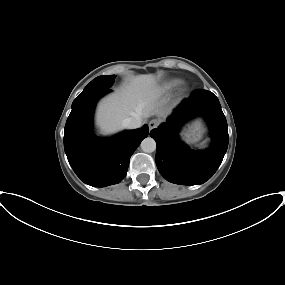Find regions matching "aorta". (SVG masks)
I'll list each match as a JSON object with an SVG mask.
<instances>
[{"label": "aorta", "instance_id": "obj_1", "mask_svg": "<svg viewBox=\"0 0 285 285\" xmlns=\"http://www.w3.org/2000/svg\"><path fill=\"white\" fill-rule=\"evenodd\" d=\"M141 149L146 153H151L156 150V142L153 138L147 137L141 142Z\"/></svg>", "mask_w": 285, "mask_h": 285}]
</instances>
